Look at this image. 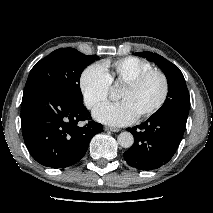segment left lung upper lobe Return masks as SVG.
Segmentation results:
<instances>
[{"instance_id":"5c2ea615","label":"left lung upper lobe","mask_w":213,"mask_h":213,"mask_svg":"<svg viewBox=\"0 0 213 213\" xmlns=\"http://www.w3.org/2000/svg\"><path fill=\"white\" fill-rule=\"evenodd\" d=\"M154 62L164 72L168 81V94L162 107L151 117L165 112H178L188 116L190 97L184 76L180 69L164 57L152 52L134 53Z\"/></svg>"}]
</instances>
